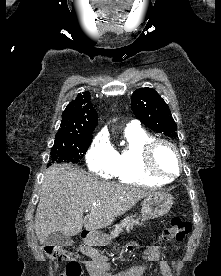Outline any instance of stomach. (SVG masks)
<instances>
[{"label":"stomach","mask_w":221,"mask_h":276,"mask_svg":"<svg viewBox=\"0 0 221 276\" xmlns=\"http://www.w3.org/2000/svg\"><path fill=\"white\" fill-rule=\"evenodd\" d=\"M173 197L165 192H154L146 196L142 202L141 213L144 219L161 217L169 212ZM91 246H102L109 243L108 238L101 232H94L86 238Z\"/></svg>","instance_id":"stomach-1"}]
</instances>
